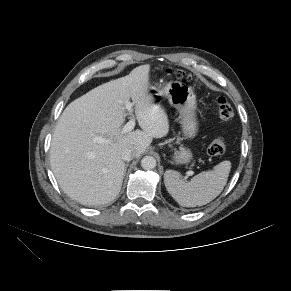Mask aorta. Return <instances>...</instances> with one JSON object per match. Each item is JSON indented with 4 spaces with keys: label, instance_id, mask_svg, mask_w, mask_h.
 Instances as JSON below:
<instances>
[{
    "label": "aorta",
    "instance_id": "1",
    "mask_svg": "<svg viewBox=\"0 0 291 291\" xmlns=\"http://www.w3.org/2000/svg\"><path fill=\"white\" fill-rule=\"evenodd\" d=\"M141 166L145 170L154 169L156 167V160L152 156H145L141 160Z\"/></svg>",
    "mask_w": 291,
    "mask_h": 291
}]
</instances>
